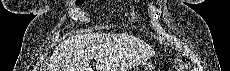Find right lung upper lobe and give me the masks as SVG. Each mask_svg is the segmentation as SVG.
Instances as JSON below:
<instances>
[{
    "mask_svg": "<svg viewBox=\"0 0 230 71\" xmlns=\"http://www.w3.org/2000/svg\"><path fill=\"white\" fill-rule=\"evenodd\" d=\"M76 1H84V0H76Z\"/></svg>",
    "mask_w": 230,
    "mask_h": 71,
    "instance_id": "1",
    "label": "right lung upper lobe"
}]
</instances>
